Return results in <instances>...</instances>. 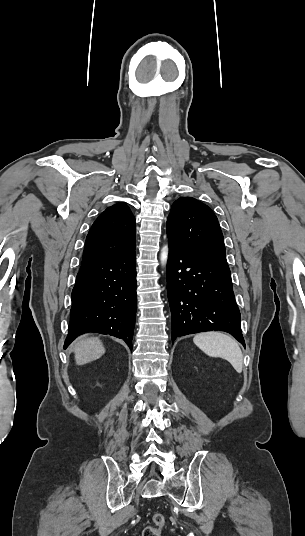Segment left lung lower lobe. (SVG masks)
I'll use <instances>...</instances> for the list:
<instances>
[{
    "mask_svg": "<svg viewBox=\"0 0 305 536\" xmlns=\"http://www.w3.org/2000/svg\"><path fill=\"white\" fill-rule=\"evenodd\" d=\"M168 243L172 341L179 336L221 330L245 347L227 262L186 252L169 240Z\"/></svg>",
    "mask_w": 305,
    "mask_h": 536,
    "instance_id": "obj_1",
    "label": "left lung lower lobe"
}]
</instances>
